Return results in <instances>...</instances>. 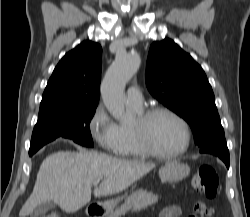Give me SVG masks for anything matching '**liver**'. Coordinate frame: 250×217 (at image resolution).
<instances>
[{
  "mask_svg": "<svg viewBox=\"0 0 250 217\" xmlns=\"http://www.w3.org/2000/svg\"><path fill=\"white\" fill-rule=\"evenodd\" d=\"M154 167L96 152L53 153L42 162L33 192L19 215L25 217L37 206L51 201L63 211L74 213L90 202L91 185L96 179L102 182L94 189V196H108L127 189Z\"/></svg>",
  "mask_w": 250,
  "mask_h": 217,
  "instance_id": "1",
  "label": "liver"
}]
</instances>
